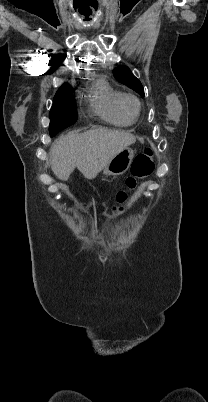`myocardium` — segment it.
Instances as JSON below:
<instances>
[{"label": "myocardium", "mask_w": 208, "mask_h": 402, "mask_svg": "<svg viewBox=\"0 0 208 402\" xmlns=\"http://www.w3.org/2000/svg\"><path fill=\"white\" fill-rule=\"evenodd\" d=\"M127 99H131L136 104L135 113H131L126 108L125 100H127ZM118 106H119V109L121 110V112L130 119L137 120L141 114V110H142L141 102H140L139 98L132 93H121L119 100H118Z\"/></svg>", "instance_id": "f54148a6"}]
</instances>
